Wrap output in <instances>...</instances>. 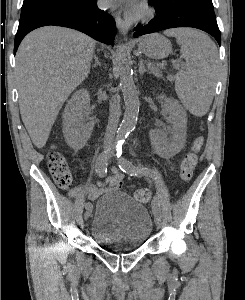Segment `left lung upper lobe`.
I'll list each match as a JSON object with an SVG mask.
<instances>
[{
    "mask_svg": "<svg viewBox=\"0 0 245 300\" xmlns=\"http://www.w3.org/2000/svg\"><path fill=\"white\" fill-rule=\"evenodd\" d=\"M171 1H177V0H171ZM185 1L197 2L209 7H213L212 0H185Z\"/></svg>",
    "mask_w": 245,
    "mask_h": 300,
    "instance_id": "5c2ea615",
    "label": "left lung upper lobe"
}]
</instances>
